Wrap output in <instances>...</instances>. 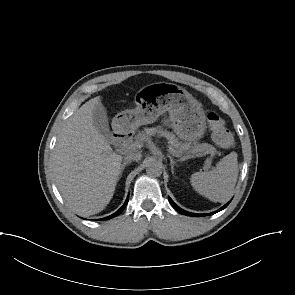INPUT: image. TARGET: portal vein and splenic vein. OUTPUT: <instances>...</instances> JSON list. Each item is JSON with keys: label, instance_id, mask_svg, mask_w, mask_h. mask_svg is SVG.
Listing matches in <instances>:
<instances>
[{"label": "portal vein and splenic vein", "instance_id": "portal-vein-and-splenic-vein-1", "mask_svg": "<svg viewBox=\"0 0 295 295\" xmlns=\"http://www.w3.org/2000/svg\"><path fill=\"white\" fill-rule=\"evenodd\" d=\"M142 146H143L142 141H136V142H134L133 144H131V148H133V149H134V148H141ZM168 151H169V153L172 154L173 156L178 157V153H177L172 147H168ZM211 163H212L211 158H207V159L205 160V166H204V168H205V169L210 168Z\"/></svg>", "mask_w": 295, "mask_h": 295}]
</instances>
